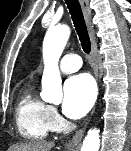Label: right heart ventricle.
Instances as JSON below:
<instances>
[{
    "instance_id": "1",
    "label": "right heart ventricle",
    "mask_w": 131,
    "mask_h": 151,
    "mask_svg": "<svg viewBox=\"0 0 131 151\" xmlns=\"http://www.w3.org/2000/svg\"><path fill=\"white\" fill-rule=\"evenodd\" d=\"M48 112L49 105L38 98L33 88L23 90L19 96L15 114L20 135L28 140L45 139L54 129Z\"/></svg>"
}]
</instances>
